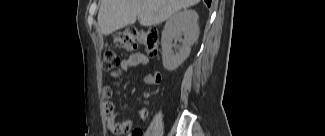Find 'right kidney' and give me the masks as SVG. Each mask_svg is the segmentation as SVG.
Listing matches in <instances>:
<instances>
[{
	"instance_id": "ca27d5eb",
	"label": "right kidney",
	"mask_w": 325,
	"mask_h": 136,
	"mask_svg": "<svg viewBox=\"0 0 325 136\" xmlns=\"http://www.w3.org/2000/svg\"><path fill=\"white\" fill-rule=\"evenodd\" d=\"M198 34V14L194 10L185 9L176 12L166 21L161 37L162 61L165 69L174 71L187 59L191 46L198 39ZM174 40H179L182 45L176 48Z\"/></svg>"
}]
</instances>
